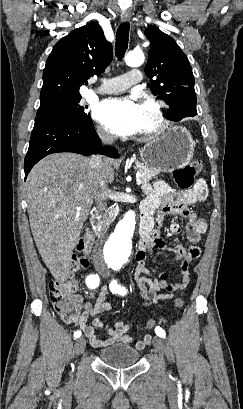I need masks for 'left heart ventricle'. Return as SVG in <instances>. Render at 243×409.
Segmentation results:
<instances>
[{
  "mask_svg": "<svg viewBox=\"0 0 243 409\" xmlns=\"http://www.w3.org/2000/svg\"><path fill=\"white\" fill-rule=\"evenodd\" d=\"M139 113H140V125H139L138 132L148 130L155 126L156 119H155L153 110L150 106L144 103H141L139 105Z\"/></svg>",
  "mask_w": 243,
  "mask_h": 409,
  "instance_id": "obj_1",
  "label": "left heart ventricle"
}]
</instances>
